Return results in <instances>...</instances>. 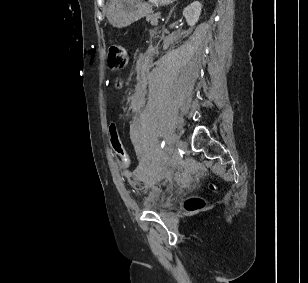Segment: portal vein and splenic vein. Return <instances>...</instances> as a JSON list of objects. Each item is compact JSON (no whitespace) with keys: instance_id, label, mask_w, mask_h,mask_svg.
Masks as SVG:
<instances>
[{"instance_id":"obj_1","label":"portal vein and splenic vein","mask_w":308,"mask_h":283,"mask_svg":"<svg viewBox=\"0 0 308 283\" xmlns=\"http://www.w3.org/2000/svg\"><path fill=\"white\" fill-rule=\"evenodd\" d=\"M157 15L160 17V16H161V13L159 12V13H157Z\"/></svg>"}]
</instances>
